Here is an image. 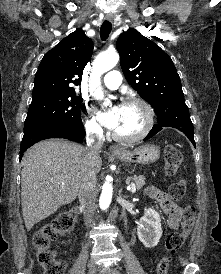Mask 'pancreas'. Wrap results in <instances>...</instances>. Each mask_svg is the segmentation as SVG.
I'll use <instances>...</instances> for the list:
<instances>
[{
    "mask_svg": "<svg viewBox=\"0 0 221 274\" xmlns=\"http://www.w3.org/2000/svg\"><path fill=\"white\" fill-rule=\"evenodd\" d=\"M133 181L135 187L139 190L145 185V177L143 175L134 176L127 179V183Z\"/></svg>",
    "mask_w": 221,
    "mask_h": 274,
    "instance_id": "1",
    "label": "pancreas"
}]
</instances>
